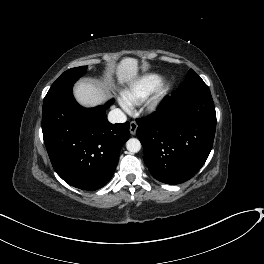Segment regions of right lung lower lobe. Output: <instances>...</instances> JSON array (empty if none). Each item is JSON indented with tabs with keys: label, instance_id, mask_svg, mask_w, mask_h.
<instances>
[{
	"label": "right lung lower lobe",
	"instance_id": "obj_1",
	"mask_svg": "<svg viewBox=\"0 0 264 264\" xmlns=\"http://www.w3.org/2000/svg\"><path fill=\"white\" fill-rule=\"evenodd\" d=\"M104 106L84 108L72 87L44 101L42 132L56 173L82 190H97L112 178L119 153L129 139V122L111 124Z\"/></svg>",
	"mask_w": 264,
	"mask_h": 264
}]
</instances>
